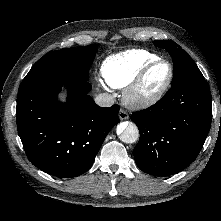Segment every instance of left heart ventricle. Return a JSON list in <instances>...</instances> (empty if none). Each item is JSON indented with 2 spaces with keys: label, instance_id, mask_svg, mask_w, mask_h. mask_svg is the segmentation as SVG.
Returning <instances> with one entry per match:
<instances>
[{
  "label": "left heart ventricle",
  "instance_id": "left-heart-ventricle-1",
  "mask_svg": "<svg viewBox=\"0 0 221 221\" xmlns=\"http://www.w3.org/2000/svg\"><path fill=\"white\" fill-rule=\"evenodd\" d=\"M167 75V65L164 63L158 64L147 75L143 84V91L145 93L156 91L165 82Z\"/></svg>",
  "mask_w": 221,
  "mask_h": 221
}]
</instances>
